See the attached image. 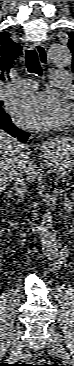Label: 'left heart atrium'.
Here are the masks:
<instances>
[{
	"instance_id": "39dd6f15",
	"label": "left heart atrium",
	"mask_w": 74,
	"mask_h": 366,
	"mask_svg": "<svg viewBox=\"0 0 74 366\" xmlns=\"http://www.w3.org/2000/svg\"><path fill=\"white\" fill-rule=\"evenodd\" d=\"M15 122L34 130L58 129L69 113L67 103L54 92H41L17 100L12 106Z\"/></svg>"
}]
</instances>
